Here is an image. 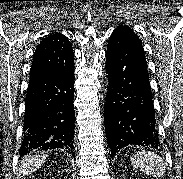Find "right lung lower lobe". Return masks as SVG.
<instances>
[{
	"label": "right lung lower lobe",
	"instance_id": "98d812e1",
	"mask_svg": "<svg viewBox=\"0 0 183 179\" xmlns=\"http://www.w3.org/2000/svg\"><path fill=\"white\" fill-rule=\"evenodd\" d=\"M74 71L37 75L29 80L25 98L20 157L32 151L64 148L74 153Z\"/></svg>",
	"mask_w": 183,
	"mask_h": 179
}]
</instances>
